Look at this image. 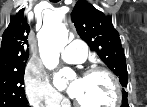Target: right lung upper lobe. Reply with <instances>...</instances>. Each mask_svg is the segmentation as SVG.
Listing matches in <instances>:
<instances>
[{
    "label": "right lung upper lobe",
    "instance_id": "1",
    "mask_svg": "<svg viewBox=\"0 0 147 107\" xmlns=\"http://www.w3.org/2000/svg\"><path fill=\"white\" fill-rule=\"evenodd\" d=\"M21 9L10 19L8 28L2 36L0 48V74L25 68L29 58L28 35L30 27Z\"/></svg>",
    "mask_w": 147,
    "mask_h": 107
}]
</instances>
